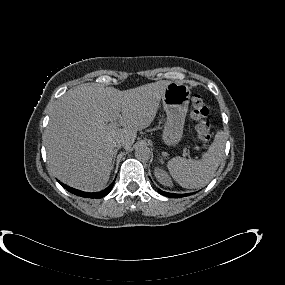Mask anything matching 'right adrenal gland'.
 <instances>
[{
  "instance_id": "obj_1",
  "label": "right adrenal gland",
  "mask_w": 285,
  "mask_h": 285,
  "mask_svg": "<svg viewBox=\"0 0 285 285\" xmlns=\"http://www.w3.org/2000/svg\"><path fill=\"white\" fill-rule=\"evenodd\" d=\"M119 149H120V148H116V149L114 150L113 161H112V168L114 167L115 158H116V155H117V152H118Z\"/></svg>"
}]
</instances>
